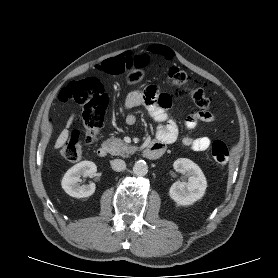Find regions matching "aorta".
Masks as SVG:
<instances>
[{
  "mask_svg": "<svg viewBox=\"0 0 278 278\" xmlns=\"http://www.w3.org/2000/svg\"><path fill=\"white\" fill-rule=\"evenodd\" d=\"M133 171L138 176H145L148 173V165L144 160H138L133 166Z\"/></svg>",
  "mask_w": 278,
  "mask_h": 278,
  "instance_id": "obj_1",
  "label": "aorta"
}]
</instances>
